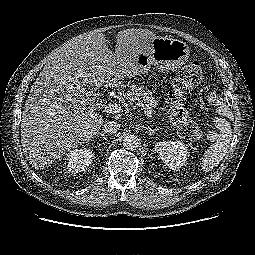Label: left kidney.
I'll use <instances>...</instances> for the list:
<instances>
[{"label": "left kidney", "instance_id": "left-kidney-1", "mask_svg": "<svg viewBox=\"0 0 255 255\" xmlns=\"http://www.w3.org/2000/svg\"><path fill=\"white\" fill-rule=\"evenodd\" d=\"M154 149L165 165L174 171L179 170L186 163L187 147L180 141L157 142Z\"/></svg>", "mask_w": 255, "mask_h": 255}]
</instances>
